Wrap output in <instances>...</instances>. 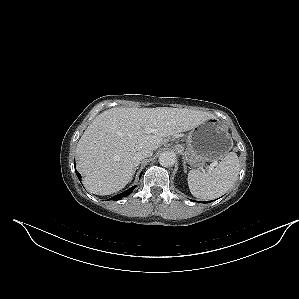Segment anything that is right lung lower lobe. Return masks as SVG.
Listing matches in <instances>:
<instances>
[{
	"instance_id": "98d812e1",
	"label": "right lung lower lobe",
	"mask_w": 299,
	"mask_h": 299,
	"mask_svg": "<svg viewBox=\"0 0 299 299\" xmlns=\"http://www.w3.org/2000/svg\"><path fill=\"white\" fill-rule=\"evenodd\" d=\"M75 171H76V174H77L78 179L81 181V175L79 174V172H78L77 170H75ZM135 187H136V186H133V187H131L130 189L126 190L125 192H123V193H121V194H118V195L112 197L111 199H112V200H120L121 198H123V197L129 195V194L133 191V189H134Z\"/></svg>"
}]
</instances>
